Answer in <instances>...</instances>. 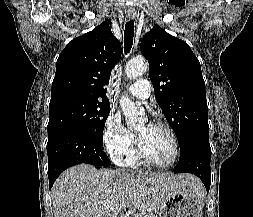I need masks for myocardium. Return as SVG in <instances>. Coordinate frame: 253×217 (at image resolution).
<instances>
[{
	"label": "myocardium",
	"mask_w": 253,
	"mask_h": 217,
	"mask_svg": "<svg viewBox=\"0 0 253 217\" xmlns=\"http://www.w3.org/2000/svg\"><path fill=\"white\" fill-rule=\"evenodd\" d=\"M152 125L155 127H159V128L166 130L168 132V134L170 135V138H171L172 144H173V155H172L171 160L166 164H157V163L152 162L143 152V149H142V146H141L138 136H136V156L141 163H143L144 165H146L148 167L158 169V170H167V169L171 168L178 160V157H179L178 137H177L174 129L167 123L159 121V122L153 123Z\"/></svg>",
	"instance_id": "1"
}]
</instances>
